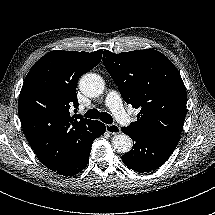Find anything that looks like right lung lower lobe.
Wrapping results in <instances>:
<instances>
[{
	"label": "right lung lower lobe",
	"instance_id": "1",
	"mask_svg": "<svg viewBox=\"0 0 215 215\" xmlns=\"http://www.w3.org/2000/svg\"><path fill=\"white\" fill-rule=\"evenodd\" d=\"M105 125L92 121L84 128L71 134L68 139V153L65 160L54 170L60 175L72 176L85 168L93 141L105 132Z\"/></svg>",
	"mask_w": 215,
	"mask_h": 215
}]
</instances>
